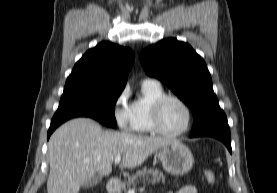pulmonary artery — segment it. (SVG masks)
Segmentation results:
<instances>
[{
  "instance_id": "1",
  "label": "pulmonary artery",
  "mask_w": 277,
  "mask_h": 193,
  "mask_svg": "<svg viewBox=\"0 0 277 193\" xmlns=\"http://www.w3.org/2000/svg\"><path fill=\"white\" fill-rule=\"evenodd\" d=\"M143 84H159V82L155 79H145Z\"/></svg>"
}]
</instances>
